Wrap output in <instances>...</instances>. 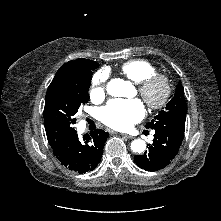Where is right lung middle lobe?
I'll return each mask as SVG.
<instances>
[{"label": "right lung middle lobe", "mask_w": 221, "mask_h": 221, "mask_svg": "<svg viewBox=\"0 0 221 221\" xmlns=\"http://www.w3.org/2000/svg\"><path fill=\"white\" fill-rule=\"evenodd\" d=\"M91 79V69H77L68 80L51 82L49 85L43 115L50 145L65 140L75 131V115L79 107L89 100Z\"/></svg>", "instance_id": "obj_1"}]
</instances>
